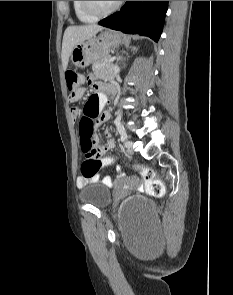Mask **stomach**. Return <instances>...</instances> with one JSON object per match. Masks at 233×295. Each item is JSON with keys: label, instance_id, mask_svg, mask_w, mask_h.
Segmentation results:
<instances>
[{"label": "stomach", "instance_id": "stomach-1", "mask_svg": "<svg viewBox=\"0 0 233 295\" xmlns=\"http://www.w3.org/2000/svg\"><path fill=\"white\" fill-rule=\"evenodd\" d=\"M122 41L121 35L113 30L102 31L99 35L78 43L71 51V61L79 68H85L94 61L107 58L110 50Z\"/></svg>", "mask_w": 233, "mask_h": 295}]
</instances>
